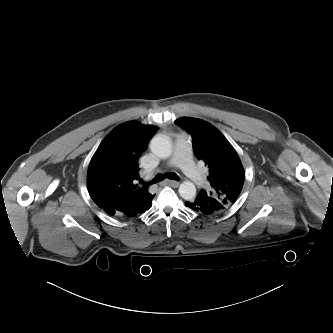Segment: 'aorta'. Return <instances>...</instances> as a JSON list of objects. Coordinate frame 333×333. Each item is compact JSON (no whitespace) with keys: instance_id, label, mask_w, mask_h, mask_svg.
<instances>
[{"instance_id":"aorta-1","label":"aorta","mask_w":333,"mask_h":333,"mask_svg":"<svg viewBox=\"0 0 333 333\" xmlns=\"http://www.w3.org/2000/svg\"><path fill=\"white\" fill-rule=\"evenodd\" d=\"M151 151L159 158H168L172 154V143L166 135H156L150 142ZM179 194L185 200H190L196 195V187L190 181H184L179 186Z\"/></svg>"}]
</instances>
